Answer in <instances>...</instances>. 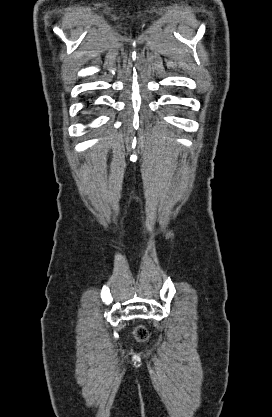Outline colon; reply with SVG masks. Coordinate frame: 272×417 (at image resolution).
Listing matches in <instances>:
<instances>
[{
  "label": "colon",
  "mask_w": 272,
  "mask_h": 417,
  "mask_svg": "<svg viewBox=\"0 0 272 417\" xmlns=\"http://www.w3.org/2000/svg\"><path fill=\"white\" fill-rule=\"evenodd\" d=\"M135 334L136 337L141 341L146 340L148 336L147 330L143 326H138L135 330Z\"/></svg>",
  "instance_id": "1"
}]
</instances>
